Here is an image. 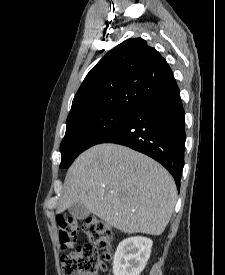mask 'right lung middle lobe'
Returning a JSON list of instances; mask_svg holds the SVG:
<instances>
[{
    "mask_svg": "<svg viewBox=\"0 0 225 275\" xmlns=\"http://www.w3.org/2000/svg\"><path fill=\"white\" fill-rule=\"evenodd\" d=\"M131 111H109L92 114L67 123L65 137L60 146V168L69 167L86 149L98 144L120 125Z\"/></svg>",
    "mask_w": 225,
    "mask_h": 275,
    "instance_id": "right-lung-middle-lobe-1",
    "label": "right lung middle lobe"
}]
</instances>
